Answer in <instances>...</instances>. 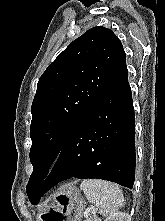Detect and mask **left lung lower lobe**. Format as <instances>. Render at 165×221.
<instances>
[{
	"mask_svg": "<svg viewBox=\"0 0 165 221\" xmlns=\"http://www.w3.org/2000/svg\"><path fill=\"white\" fill-rule=\"evenodd\" d=\"M32 204L59 182L97 178L132 189L135 179V115L125 65L64 143Z\"/></svg>",
	"mask_w": 165,
	"mask_h": 221,
	"instance_id": "obj_1",
	"label": "left lung lower lobe"
}]
</instances>
